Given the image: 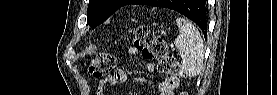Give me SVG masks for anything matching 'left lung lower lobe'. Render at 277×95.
Here are the masks:
<instances>
[{
  "instance_id": "0a47b994",
  "label": "left lung lower lobe",
  "mask_w": 277,
  "mask_h": 95,
  "mask_svg": "<svg viewBox=\"0 0 277 95\" xmlns=\"http://www.w3.org/2000/svg\"><path fill=\"white\" fill-rule=\"evenodd\" d=\"M169 1L172 3V0H133L130 4L157 6L158 3L167 4ZM165 8L173 9L193 20L204 32V36H206L207 8L205 0H176L174 4Z\"/></svg>"
}]
</instances>
